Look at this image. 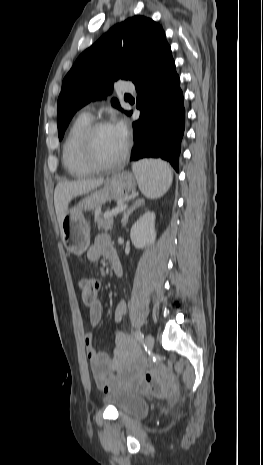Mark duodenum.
I'll return each mask as SVG.
<instances>
[{"mask_svg": "<svg viewBox=\"0 0 263 465\" xmlns=\"http://www.w3.org/2000/svg\"><path fill=\"white\" fill-rule=\"evenodd\" d=\"M111 267L116 276L120 277L122 275V265L119 260V257L116 253H113L109 258Z\"/></svg>", "mask_w": 263, "mask_h": 465, "instance_id": "duodenum-1", "label": "duodenum"}]
</instances>
